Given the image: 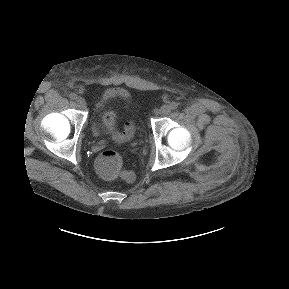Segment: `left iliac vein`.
<instances>
[{
	"mask_svg": "<svg viewBox=\"0 0 289 289\" xmlns=\"http://www.w3.org/2000/svg\"><path fill=\"white\" fill-rule=\"evenodd\" d=\"M171 108L169 105H163L159 109V114L160 115H167L170 112Z\"/></svg>",
	"mask_w": 289,
	"mask_h": 289,
	"instance_id": "obj_1",
	"label": "left iliac vein"
}]
</instances>
